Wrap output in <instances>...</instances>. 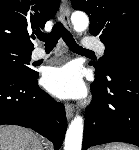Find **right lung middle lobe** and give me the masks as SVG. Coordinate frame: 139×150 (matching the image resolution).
<instances>
[{"label": "right lung middle lobe", "mask_w": 139, "mask_h": 150, "mask_svg": "<svg viewBox=\"0 0 139 150\" xmlns=\"http://www.w3.org/2000/svg\"><path fill=\"white\" fill-rule=\"evenodd\" d=\"M31 52L0 46V70H10L24 76H32L36 72L30 68Z\"/></svg>", "instance_id": "obj_1"}]
</instances>
